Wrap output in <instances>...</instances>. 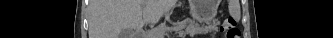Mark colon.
<instances>
[{
  "instance_id": "colon-1",
  "label": "colon",
  "mask_w": 333,
  "mask_h": 38,
  "mask_svg": "<svg viewBox=\"0 0 333 38\" xmlns=\"http://www.w3.org/2000/svg\"><path fill=\"white\" fill-rule=\"evenodd\" d=\"M222 32L225 38H240V30L234 18H227L222 25Z\"/></svg>"
}]
</instances>
